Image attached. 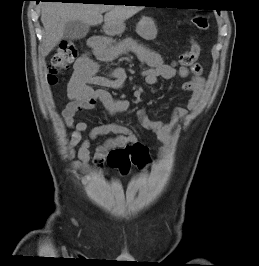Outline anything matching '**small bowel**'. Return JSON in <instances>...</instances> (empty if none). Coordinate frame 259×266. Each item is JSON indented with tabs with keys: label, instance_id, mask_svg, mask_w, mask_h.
Listing matches in <instances>:
<instances>
[{
	"label": "small bowel",
	"instance_id": "1",
	"mask_svg": "<svg viewBox=\"0 0 259 266\" xmlns=\"http://www.w3.org/2000/svg\"><path fill=\"white\" fill-rule=\"evenodd\" d=\"M90 47L91 52L83 54L74 64V72L67 88L70 101L62 111L65 124L74 129L68 154L70 157L77 154L78 161L74 162L75 169L86 171L89 168V163L92 162L99 170L105 171V165L108 164L107 160L111 151L138 142L136 133L123 125L105 122L88 129L87 123H76L74 120L76 114L93 109L98 103L104 107L109 115L121 113L128 109L129 103L126 100L113 97L105 89L92 87V85L115 89L122 87L126 79L125 71L122 68H116L109 76H99L97 74L99 67L97 60L112 59L126 52L134 53L146 65L147 68L141 72V75L148 85L155 84L158 78L172 79L176 74L183 78L190 76V79L182 87L185 92L190 93V98L186 106H177L173 109L169 121L153 120L144 111L140 112L143 127L152 131L162 143L158 155L164 154L172 144V133L176 124L199 104L205 88L201 65L196 63L189 68L181 66L176 70L166 64L158 52L132 40L116 43L104 37H94L90 41ZM86 131H88V137L83 139V133ZM108 134L114 136L97 146L91 157V141ZM77 145L79 148L76 152L74 148Z\"/></svg>",
	"mask_w": 259,
	"mask_h": 266
}]
</instances>
